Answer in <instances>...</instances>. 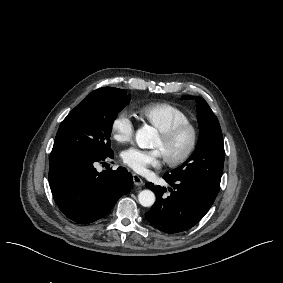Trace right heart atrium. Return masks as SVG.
<instances>
[{
  "instance_id": "1",
  "label": "right heart atrium",
  "mask_w": 283,
  "mask_h": 283,
  "mask_svg": "<svg viewBox=\"0 0 283 283\" xmlns=\"http://www.w3.org/2000/svg\"><path fill=\"white\" fill-rule=\"evenodd\" d=\"M135 126L126 113L117 114L110 123V137L121 144L129 143L134 137Z\"/></svg>"
}]
</instances>
